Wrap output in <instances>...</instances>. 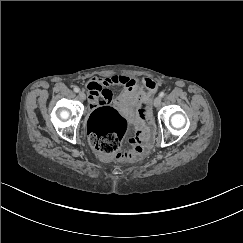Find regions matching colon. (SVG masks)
I'll list each match as a JSON object with an SVG mask.
<instances>
[{
    "mask_svg": "<svg viewBox=\"0 0 243 243\" xmlns=\"http://www.w3.org/2000/svg\"><path fill=\"white\" fill-rule=\"evenodd\" d=\"M138 115L149 128L140 130L137 137L129 138V146L123 148L122 144L128 134L126 119L110 106L94 109L88 119L87 128L96 151L106 158L114 157L125 161L140 159L148 150L151 141L152 125L148 98L142 100Z\"/></svg>",
    "mask_w": 243,
    "mask_h": 243,
    "instance_id": "obj_1",
    "label": "colon"
}]
</instances>
